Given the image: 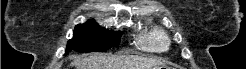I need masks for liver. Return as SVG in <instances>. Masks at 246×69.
<instances>
[{"instance_id": "liver-1", "label": "liver", "mask_w": 246, "mask_h": 69, "mask_svg": "<svg viewBox=\"0 0 246 69\" xmlns=\"http://www.w3.org/2000/svg\"><path fill=\"white\" fill-rule=\"evenodd\" d=\"M161 62L138 56L92 55L77 58L76 69H151Z\"/></svg>"}]
</instances>
